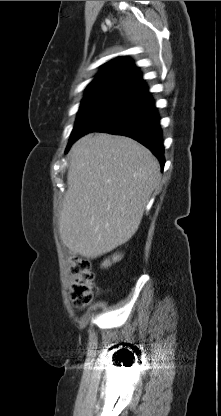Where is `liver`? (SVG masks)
Instances as JSON below:
<instances>
[{
    "instance_id": "obj_1",
    "label": "liver",
    "mask_w": 221,
    "mask_h": 416,
    "mask_svg": "<svg viewBox=\"0 0 221 416\" xmlns=\"http://www.w3.org/2000/svg\"><path fill=\"white\" fill-rule=\"evenodd\" d=\"M159 179L158 160L129 137L99 133L78 139L59 217L64 245L94 259L126 243Z\"/></svg>"
}]
</instances>
